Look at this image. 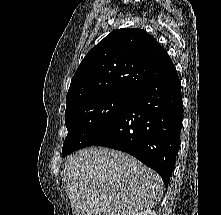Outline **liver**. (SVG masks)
Segmentation results:
<instances>
[{
  "instance_id": "liver-1",
  "label": "liver",
  "mask_w": 221,
  "mask_h": 215,
  "mask_svg": "<svg viewBox=\"0 0 221 215\" xmlns=\"http://www.w3.org/2000/svg\"><path fill=\"white\" fill-rule=\"evenodd\" d=\"M64 182L74 215H135L161 199V177L133 156L90 147L66 157Z\"/></svg>"
}]
</instances>
